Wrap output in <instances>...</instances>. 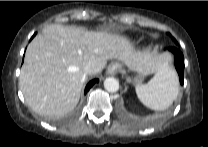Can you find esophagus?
Wrapping results in <instances>:
<instances>
[{"label": "esophagus", "instance_id": "1", "mask_svg": "<svg viewBox=\"0 0 208 147\" xmlns=\"http://www.w3.org/2000/svg\"><path fill=\"white\" fill-rule=\"evenodd\" d=\"M119 70V64L113 63L109 66L108 68V73L109 74H115Z\"/></svg>", "mask_w": 208, "mask_h": 147}]
</instances>
